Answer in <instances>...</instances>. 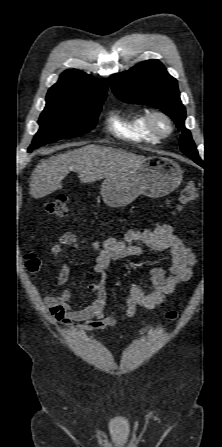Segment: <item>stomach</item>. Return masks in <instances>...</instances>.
Returning a JSON list of instances; mask_svg holds the SVG:
<instances>
[{
    "label": "stomach",
    "mask_w": 222,
    "mask_h": 447,
    "mask_svg": "<svg viewBox=\"0 0 222 447\" xmlns=\"http://www.w3.org/2000/svg\"><path fill=\"white\" fill-rule=\"evenodd\" d=\"M182 178L183 172L175 161L151 156L133 169L106 177L101 194L110 207H124L140 195L151 198L168 195L179 186Z\"/></svg>",
    "instance_id": "stomach-1"
}]
</instances>
